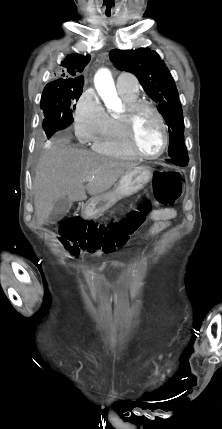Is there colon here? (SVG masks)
<instances>
[{
  "label": "colon",
  "mask_w": 222,
  "mask_h": 429,
  "mask_svg": "<svg viewBox=\"0 0 222 429\" xmlns=\"http://www.w3.org/2000/svg\"><path fill=\"white\" fill-rule=\"evenodd\" d=\"M155 198L162 205H174L181 197L182 183L175 171H157L153 175ZM150 211V204L143 201L138 208L126 216L104 223L86 221L81 217L68 218L60 228V240L73 255L80 251L111 252L128 242L129 237L138 230Z\"/></svg>",
  "instance_id": "1"
}]
</instances>
